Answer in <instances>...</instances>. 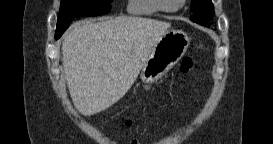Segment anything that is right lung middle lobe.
Wrapping results in <instances>:
<instances>
[{
  "label": "right lung middle lobe",
  "instance_id": "obj_1",
  "mask_svg": "<svg viewBox=\"0 0 273 144\" xmlns=\"http://www.w3.org/2000/svg\"><path fill=\"white\" fill-rule=\"evenodd\" d=\"M112 0H62L55 38L59 39L75 17L106 14Z\"/></svg>",
  "mask_w": 273,
  "mask_h": 144
}]
</instances>
